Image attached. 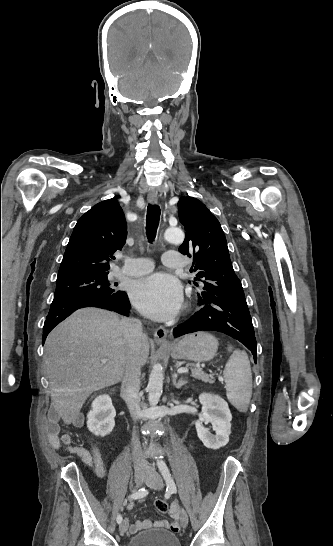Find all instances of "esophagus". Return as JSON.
I'll use <instances>...</instances> for the list:
<instances>
[{
    "label": "esophagus",
    "instance_id": "esophagus-1",
    "mask_svg": "<svg viewBox=\"0 0 333 546\" xmlns=\"http://www.w3.org/2000/svg\"><path fill=\"white\" fill-rule=\"evenodd\" d=\"M147 199L150 204L155 205L158 201L157 191L154 189L150 190ZM154 340L158 344L167 345V330L164 327H159L154 333Z\"/></svg>",
    "mask_w": 333,
    "mask_h": 546
}]
</instances>
